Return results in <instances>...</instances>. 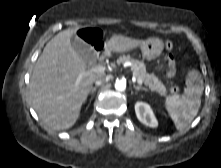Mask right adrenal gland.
I'll return each mask as SVG.
<instances>
[{"label":"right adrenal gland","mask_w":221,"mask_h":168,"mask_svg":"<svg viewBox=\"0 0 221 168\" xmlns=\"http://www.w3.org/2000/svg\"><path fill=\"white\" fill-rule=\"evenodd\" d=\"M98 88V86L92 87L90 90V93L92 94L91 99L93 98V94L95 93L96 89Z\"/></svg>","instance_id":"right-adrenal-gland-1"}]
</instances>
